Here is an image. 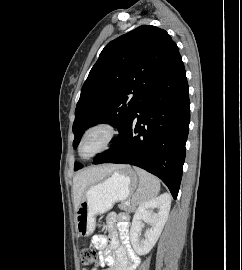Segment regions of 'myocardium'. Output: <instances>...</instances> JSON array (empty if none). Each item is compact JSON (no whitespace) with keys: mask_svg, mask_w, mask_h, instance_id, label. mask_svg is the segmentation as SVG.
Returning <instances> with one entry per match:
<instances>
[{"mask_svg":"<svg viewBox=\"0 0 242 270\" xmlns=\"http://www.w3.org/2000/svg\"><path fill=\"white\" fill-rule=\"evenodd\" d=\"M96 130H102L105 133L104 142H103L102 146L97 151H95L93 154H91L87 157H84L81 153L83 142L90 133H92L93 131H96ZM117 135H118V129H117V126L113 122L104 120V121H99V122H96V123L90 125L81 135V138L79 140L78 147H77L78 155L82 159H91V158L97 156L98 154L103 153L104 151H106L110 148V146L115 141Z\"/></svg>","mask_w":242,"mask_h":270,"instance_id":"myocardium-1","label":"myocardium"}]
</instances>
